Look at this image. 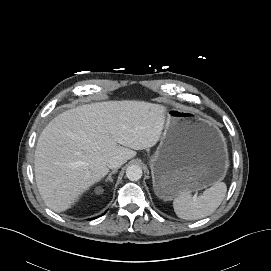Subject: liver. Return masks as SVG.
Wrapping results in <instances>:
<instances>
[{
    "label": "liver",
    "mask_w": 271,
    "mask_h": 271,
    "mask_svg": "<svg viewBox=\"0 0 271 271\" xmlns=\"http://www.w3.org/2000/svg\"><path fill=\"white\" fill-rule=\"evenodd\" d=\"M167 109L140 101L83 105L55 117L35 150V179L44 203L63 212L109 172L108 160L124 162L151 148L166 124Z\"/></svg>",
    "instance_id": "liver-1"
}]
</instances>
